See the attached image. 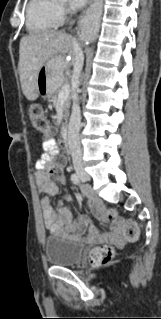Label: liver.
<instances>
[{
    "label": "liver",
    "mask_w": 161,
    "mask_h": 319,
    "mask_svg": "<svg viewBox=\"0 0 161 319\" xmlns=\"http://www.w3.org/2000/svg\"><path fill=\"white\" fill-rule=\"evenodd\" d=\"M74 38L63 31H44L23 37L19 46V76L23 94L29 101L38 97V72L56 57L63 69L68 67L65 55H74Z\"/></svg>",
    "instance_id": "1"
}]
</instances>
